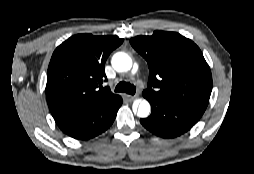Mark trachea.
Returning a JSON list of instances; mask_svg holds the SVG:
<instances>
[{
  "mask_svg": "<svg viewBox=\"0 0 254 174\" xmlns=\"http://www.w3.org/2000/svg\"><path fill=\"white\" fill-rule=\"evenodd\" d=\"M115 92H125L134 95L136 92V87L130 83L122 81L117 84Z\"/></svg>",
  "mask_w": 254,
  "mask_h": 174,
  "instance_id": "trachea-1",
  "label": "trachea"
}]
</instances>
